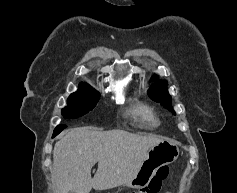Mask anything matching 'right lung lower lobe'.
Segmentation results:
<instances>
[{"label":"right lung lower lobe","mask_w":237,"mask_h":193,"mask_svg":"<svg viewBox=\"0 0 237 193\" xmlns=\"http://www.w3.org/2000/svg\"><path fill=\"white\" fill-rule=\"evenodd\" d=\"M64 128H66V125H58L53 133L52 137H55L56 135H58Z\"/></svg>","instance_id":"1"}]
</instances>
